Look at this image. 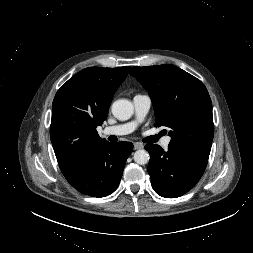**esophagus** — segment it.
<instances>
[{
	"label": "esophagus",
	"instance_id": "1",
	"mask_svg": "<svg viewBox=\"0 0 253 253\" xmlns=\"http://www.w3.org/2000/svg\"><path fill=\"white\" fill-rule=\"evenodd\" d=\"M144 145L142 143L136 142L134 143V150L142 149Z\"/></svg>",
	"mask_w": 253,
	"mask_h": 253
}]
</instances>
